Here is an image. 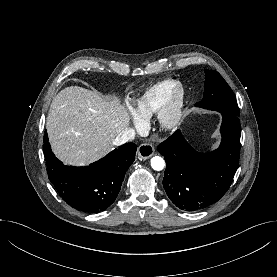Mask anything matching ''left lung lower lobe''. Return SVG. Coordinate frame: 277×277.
<instances>
[{"label": "left lung lower lobe", "instance_id": "0a47b994", "mask_svg": "<svg viewBox=\"0 0 277 277\" xmlns=\"http://www.w3.org/2000/svg\"><path fill=\"white\" fill-rule=\"evenodd\" d=\"M220 113L222 141L218 149L198 152L180 131L157 148L166 161L163 178L166 194L181 210H202L218 201L231 185L239 163L240 120L236 115Z\"/></svg>", "mask_w": 277, "mask_h": 277}]
</instances>
